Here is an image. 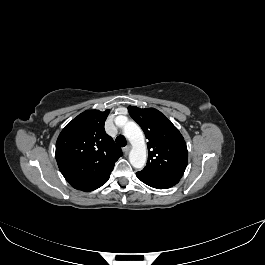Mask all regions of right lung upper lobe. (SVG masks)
Returning a JSON list of instances; mask_svg holds the SVG:
<instances>
[{"label":"right lung upper lobe","mask_w":265,"mask_h":265,"mask_svg":"<svg viewBox=\"0 0 265 265\" xmlns=\"http://www.w3.org/2000/svg\"><path fill=\"white\" fill-rule=\"evenodd\" d=\"M109 110H87L59 134L56 160L67 182L77 190L91 191L107 180L121 149L104 129Z\"/></svg>","instance_id":"cb5924a9"}]
</instances>
